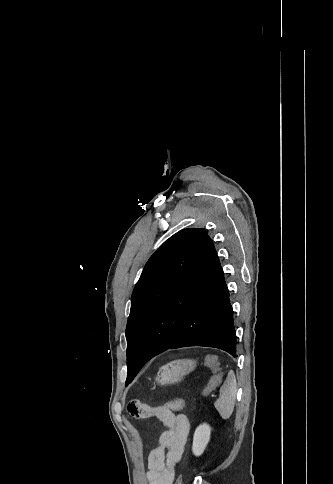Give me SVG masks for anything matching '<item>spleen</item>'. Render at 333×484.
Returning <instances> with one entry per match:
<instances>
[{
	"label": "spleen",
	"mask_w": 333,
	"mask_h": 484,
	"mask_svg": "<svg viewBox=\"0 0 333 484\" xmlns=\"http://www.w3.org/2000/svg\"><path fill=\"white\" fill-rule=\"evenodd\" d=\"M214 384L215 380H211L206 391H208ZM236 391V378L234 372L231 370L219 391V399L214 403V407L223 419H228L233 413Z\"/></svg>",
	"instance_id": "3e777b00"
}]
</instances>
